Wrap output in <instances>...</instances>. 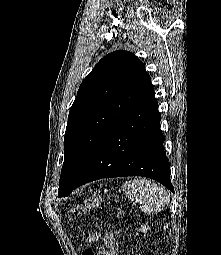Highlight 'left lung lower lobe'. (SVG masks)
I'll return each instance as SVG.
<instances>
[{
    "mask_svg": "<svg viewBox=\"0 0 221 255\" xmlns=\"http://www.w3.org/2000/svg\"><path fill=\"white\" fill-rule=\"evenodd\" d=\"M164 140L153 90L111 128L74 189L101 178L144 176L174 192Z\"/></svg>",
    "mask_w": 221,
    "mask_h": 255,
    "instance_id": "0a47b994",
    "label": "left lung lower lobe"
}]
</instances>
